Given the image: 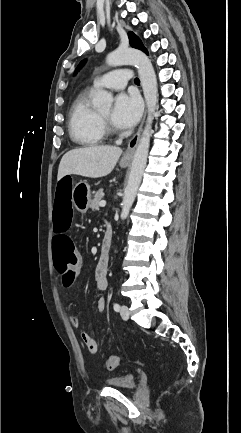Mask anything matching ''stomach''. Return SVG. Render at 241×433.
<instances>
[{"label":"stomach","mask_w":241,"mask_h":433,"mask_svg":"<svg viewBox=\"0 0 241 433\" xmlns=\"http://www.w3.org/2000/svg\"><path fill=\"white\" fill-rule=\"evenodd\" d=\"M129 165V162L127 161H121L120 166L121 167H127ZM73 192L71 195V203L74 206V208L84 213L87 211L90 202H91V193H90V186L83 181L78 182L73 186Z\"/></svg>","instance_id":"0dacf381"}]
</instances>
